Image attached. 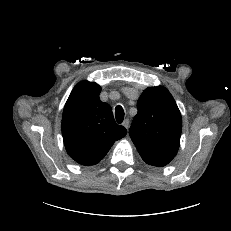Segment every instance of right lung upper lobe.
I'll use <instances>...</instances> for the list:
<instances>
[{
    "instance_id": "obj_1",
    "label": "right lung upper lobe",
    "mask_w": 231,
    "mask_h": 231,
    "mask_svg": "<svg viewBox=\"0 0 231 231\" xmlns=\"http://www.w3.org/2000/svg\"><path fill=\"white\" fill-rule=\"evenodd\" d=\"M101 87L78 83L63 110L62 135L69 156L81 165L97 164L127 130L117 125L109 104L100 101Z\"/></svg>"
}]
</instances>
